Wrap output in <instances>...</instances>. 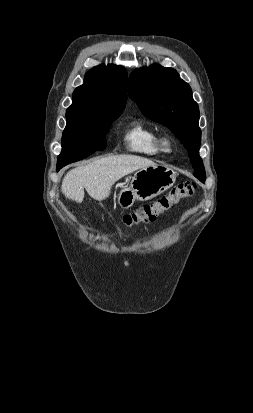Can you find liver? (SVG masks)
Returning a JSON list of instances; mask_svg holds the SVG:
<instances>
[{
    "label": "liver",
    "mask_w": 253,
    "mask_h": 413,
    "mask_svg": "<svg viewBox=\"0 0 253 413\" xmlns=\"http://www.w3.org/2000/svg\"><path fill=\"white\" fill-rule=\"evenodd\" d=\"M156 165L147 158L133 155L100 158L70 170L63 178L61 190L77 203L84 199V188L91 198L102 201L109 197L113 184L125 175Z\"/></svg>",
    "instance_id": "liver-1"
}]
</instances>
